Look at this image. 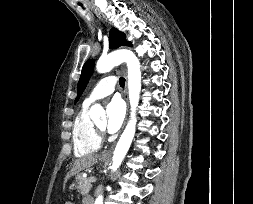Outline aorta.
<instances>
[{
    "mask_svg": "<svg viewBox=\"0 0 253 204\" xmlns=\"http://www.w3.org/2000/svg\"><path fill=\"white\" fill-rule=\"evenodd\" d=\"M122 62H126L128 67V90L131 115L129 122L116 145L112 158V171H116L118 169L134 138L137 121L136 108L139 103L141 91L140 62L132 51L123 49L101 57L96 65V69L99 73H105ZM90 117L93 120L98 118L104 119L105 111L100 105L95 104L90 108ZM95 204H103L102 195L97 197Z\"/></svg>",
    "mask_w": 253,
    "mask_h": 204,
    "instance_id": "obj_1",
    "label": "aorta"
}]
</instances>
